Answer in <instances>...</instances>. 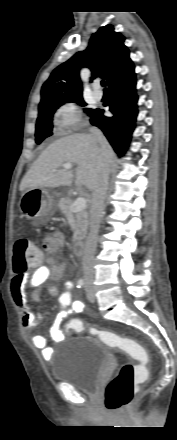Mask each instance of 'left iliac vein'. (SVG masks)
<instances>
[{
  "instance_id": "1",
  "label": "left iliac vein",
  "mask_w": 177,
  "mask_h": 440,
  "mask_svg": "<svg viewBox=\"0 0 177 440\" xmlns=\"http://www.w3.org/2000/svg\"><path fill=\"white\" fill-rule=\"evenodd\" d=\"M86 291H87L88 300L92 303L95 302L96 297L93 288L91 286H87Z\"/></svg>"
}]
</instances>
